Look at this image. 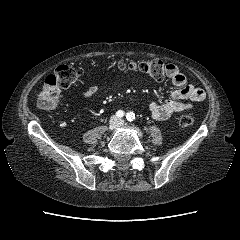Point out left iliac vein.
Returning <instances> with one entry per match:
<instances>
[{
	"mask_svg": "<svg viewBox=\"0 0 240 240\" xmlns=\"http://www.w3.org/2000/svg\"><path fill=\"white\" fill-rule=\"evenodd\" d=\"M119 124H120V126H123V125H124L122 121H120V123H119Z\"/></svg>",
	"mask_w": 240,
	"mask_h": 240,
	"instance_id": "4c4485c4",
	"label": "left iliac vein"
}]
</instances>
